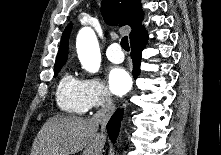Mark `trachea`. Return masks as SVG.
Listing matches in <instances>:
<instances>
[{"instance_id": "1", "label": "trachea", "mask_w": 221, "mask_h": 155, "mask_svg": "<svg viewBox=\"0 0 221 155\" xmlns=\"http://www.w3.org/2000/svg\"><path fill=\"white\" fill-rule=\"evenodd\" d=\"M121 47H122L125 51H129V50H130L127 36H124V37L121 39Z\"/></svg>"}]
</instances>
